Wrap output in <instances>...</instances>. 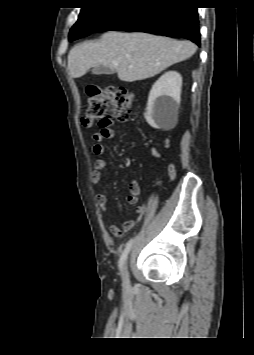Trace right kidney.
<instances>
[{"mask_svg":"<svg viewBox=\"0 0 254 355\" xmlns=\"http://www.w3.org/2000/svg\"><path fill=\"white\" fill-rule=\"evenodd\" d=\"M181 87L182 77L175 71L165 73L154 83L144 115L151 127L159 129L176 123Z\"/></svg>","mask_w":254,"mask_h":355,"instance_id":"right-kidney-1","label":"right kidney"}]
</instances>
